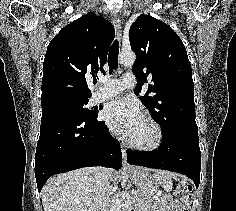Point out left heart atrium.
I'll return each instance as SVG.
<instances>
[{"label":"left heart atrium","mask_w":236,"mask_h":211,"mask_svg":"<svg viewBox=\"0 0 236 211\" xmlns=\"http://www.w3.org/2000/svg\"><path fill=\"white\" fill-rule=\"evenodd\" d=\"M103 118L125 136H128L143 119L139 105L126 97L110 101L104 109Z\"/></svg>","instance_id":"1"}]
</instances>
